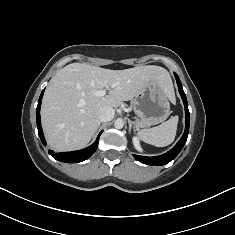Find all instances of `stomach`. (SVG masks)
Wrapping results in <instances>:
<instances>
[{
	"label": "stomach",
	"mask_w": 235,
	"mask_h": 235,
	"mask_svg": "<svg viewBox=\"0 0 235 235\" xmlns=\"http://www.w3.org/2000/svg\"><path fill=\"white\" fill-rule=\"evenodd\" d=\"M137 128H146L165 121L171 111L169 97L157 81L146 85L133 99Z\"/></svg>",
	"instance_id": "0dacf381"
}]
</instances>
